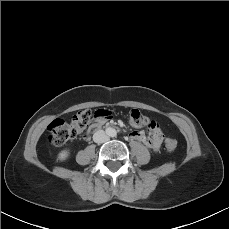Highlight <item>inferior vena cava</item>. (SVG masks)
I'll list each match as a JSON object with an SVG mask.
<instances>
[{
    "label": "inferior vena cava",
    "mask_w": 229,
    "mask_h": 229,
    "mask_svg": "<svg viewBox=\"0 0 229 229\" xmlns=\"http://www.w3.org/2000/svg\"><path fill=\"white\" fill-rule=\"evenodd\" d=\"M108 139L109 138H108L107 134L103 130H98L93 135V141L95 143H98V144L104 143V142L108 141Z\"/></svg>",
    "instance_id": "inferior-vena-cava-1"
}]
</instances>
